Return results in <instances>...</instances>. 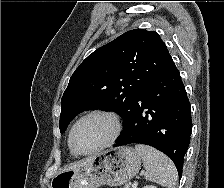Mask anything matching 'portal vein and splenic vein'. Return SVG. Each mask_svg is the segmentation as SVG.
<instances>
[{"label":"portal vein and splenic vein","instance_id":"obj_1","mask_svg":"<svg viewBox=\"0 0 224 188\" xmlns=\"http://www.w3.org/2000/svg\"><path fill=\"white\" fill-rule=\"evenodd\" d=\"M126 188H129V185H126L125 186ZM137 187V182H135L133 185H132V188H136Z\"/></svg>","mask_w":224,"mask_h":188}]
</instances>
